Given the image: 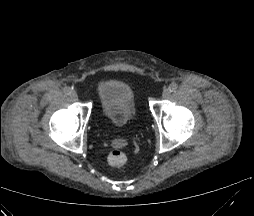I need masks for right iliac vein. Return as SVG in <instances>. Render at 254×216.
Masks as SVG:
<instances>
[{"instance_id": "63e3f726", "label": "right iliac vein", "mask_w": 254, "mask_h": 216, "mask_svg": "<svg viewBox=\"0 0 254 216\" xmlns=\"http://www.w3.org/2000/svg\"><path fill=\"white\" fill-rule=\"evenodd\" d=\"M70 96H71V98H72L73 100H77V99H78V95H77L76 92H72Z\"/></svg>"}]
</instances>
